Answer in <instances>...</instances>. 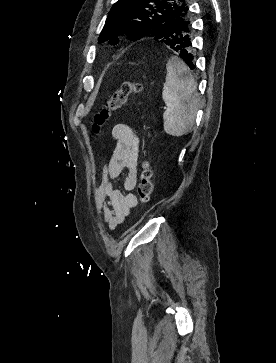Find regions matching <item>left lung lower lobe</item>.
I'll return each mask as SVG.
<instances>
[{
  "mask_svg": "<svg viewBox=\"0 0 276 363\" xmlns=\"http://www.w3.org/2000/svg\"><path fill=\"white\" fill-rule=\"evenodd\" d=\"M192 30L189 14H187L177 23L174 36L170 37V40L168 41L170 47L179 54L191 70L195 68L191 43Z\"/></svg>",
  "mask_w": 276,
  "mask_h": 363,
  "instance_id": "left-lung-lower-lobe-1",
  "label": "left lung lower lobe"
}]
</instances>
